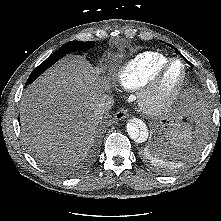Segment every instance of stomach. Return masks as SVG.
I'll list each match as a JSON object with an SVG mask.
<instances>
[{
	"mask_svg": "<svg viewBox=\"0 0 221 221\" xmlns=\"http://www.w3.org/2000/svg\"><path fill=\"white\" fill-rule=\"evenodd\" d=\"M182 116L183 110L180 107L167 109L158 120L160 131L165 132L175 128L180 123Z\"/></svg>",
	"mask_w": 221,
	"mask_h": 221,
	"instance_id": "1",
	"label": "stomach"
}]
</instances>
